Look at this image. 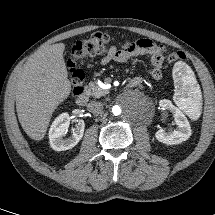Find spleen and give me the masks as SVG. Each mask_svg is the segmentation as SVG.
<instances>
[{
    "instance_id": "3e777b00",
    "label": "spleen",
    "mask_w": 215,
    "mask_h": 215,
    "mask_svg": "<svg viewBox=\"0 0 215 215\" xmlns=\"http://www.w3.org/2000/svg\"><path fill=\"white\" fill-rule=\"evenodd\" d=\"M185 63L176 62L173 69L175 94L174 101L178 107L191 114L201 107V91L197 81Z\"/></svg>"
}]
</instances>
